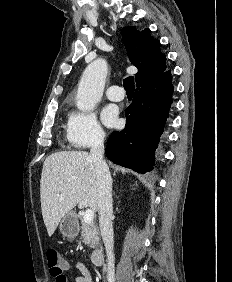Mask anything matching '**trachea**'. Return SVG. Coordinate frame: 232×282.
Masks as SVG:
<instances>
[{"instance_id":"obj_1","label":"trachea","mask_w":232,"mask_h":282,"mask_svg":"<svg viewBox=\"0 0 232 282\" xmlns=\"http://www.w3.org/2000/svg\"><path fill=\"white\" fill-rule=\"evenodd\" d=\"M123 87L126 90V92H133L134 89H135L134 77L129 76V77L125 78L124 81H123Z\"/></svg>"}]
</instances>
